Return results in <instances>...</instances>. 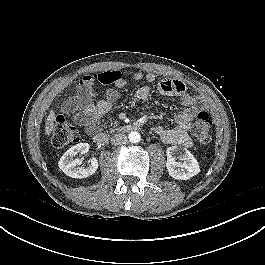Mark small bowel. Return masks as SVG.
Masks as SVG:
<instances>
[{
  "label": "small bowel",
  "mask_w": 265,
  "mask_h": 265,
  "mask_svg": "<svg viewBox=\"0 0 265 265\" xmlns=\"http://www.w3.org/2000/svg\"><path fill=\"white\" fill-rule=\"evenodd\" d=\"M114 81L104 82L98 80L94 75H84L78 83L77 93L73 100L67 102V105H74L80 111L77 119L87 133L92 134L104 115L111 109L118 99V93L110 89L104 99L97 100L95 83L109 84L114 83L116 88H123L127 81L118 71ZM134 81L145 80L153 83L156 76L153 73L135 72L132 75ZM157 89L164 96L177 97L184 110L176 115L175 125L172 127L154 126L153 131L168 144L181 145L186 148L192 147V140L188 135L191 122L197 114L202 111L199 100L196 96L187 91L186 86L178 80L165 79L158 83ZM150 95L148 86H141L137 89L135 97L140 101H145Z\"/></svg>",
  "instance_id": "small-bowel-1"
}]
</instances>
